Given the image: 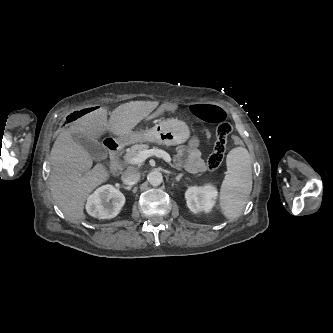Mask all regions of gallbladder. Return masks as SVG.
<instances>
[{
	"instance_id": "gallbladder-1",
	"label": "gallbladder",
	"mask_w": 333,
	"mask_h": 333,
	"mask_svg": "<svg viewBox=\"0 0 333 333\" xmlns=\"http://www.w3.org/2000/svg\"><path fill=\"white\" fill-rule=\"evenodd\" d=\"M74 140L84 147L94 160H104L107 158V150L96 139L85 134H74Z\"/></svg>"
}]
</instances>
